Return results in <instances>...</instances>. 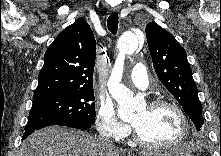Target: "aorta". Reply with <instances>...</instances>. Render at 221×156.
I'll list each match as a JSON object with an SVG mask.
<instances>
[{
    "mask_svg": "<svg viewBox=\"0 0 221 156\" xmlns=\"http://www.w3.org/2000/svg\"><path fill=\"white\" fill-rule=\"evenodd\" d=\"M138 45L139 36L133 32H125L119 37L117 42L119 53L108 80V90L118 103V115L123 120L132 119L135 112L144 105L141 98L134 96L130 89L121 84L125 55L133 53Z\"/></svg>",
    "mask_w": 221,
    "mask_h": 156,
    "instance_id": "1",
    "label": "aorta"
}]
</instances>
